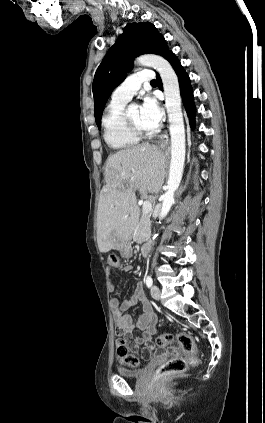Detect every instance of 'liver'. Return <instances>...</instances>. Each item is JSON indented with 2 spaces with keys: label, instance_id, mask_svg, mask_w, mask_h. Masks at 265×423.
I'll use <instances>...</instances> for the list:
<instances>
[{
  "label": "liver",
  "instance_id": "obj_1",
  "mask_svg": "<svg viewBox=\"0 0 265 423\" xmlns=\"http://www.w3.org/2000/svg\"><path fill=\"white\" fill-rule=\"evenodd\" d=\"M166 158L155 145L142 143L110 155L106 161V193L98 206L99 251L119 249L128 240L132 222L138 216L135 192L146 196L159 193L165 178Z\"/></svg>",
  "mask_w": 265,
  "mask_h": 423
}]
</instances>
